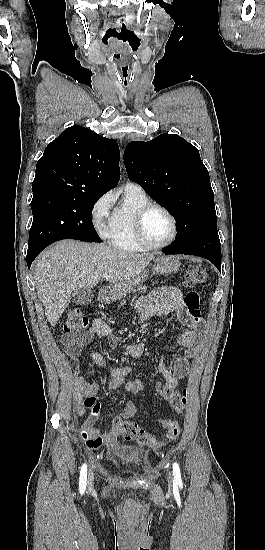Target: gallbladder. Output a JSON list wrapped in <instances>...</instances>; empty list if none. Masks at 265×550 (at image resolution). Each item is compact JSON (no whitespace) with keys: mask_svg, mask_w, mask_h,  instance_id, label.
<instances>
[{"mask_svg":"<svg viewBox=\"0 0 265 550\" xmlns=\"http://www.w3.org/2000/svg\"><path fill=\"white\" fill-rule=\"evenodd\" d=\"M93 297L94 294L91 289L81 288L72 293L71 300L77 305H86L92 301Z\"/></svg>","mask_w":265,"mask_h":550,"instance_id":"gallbladder-1","label":"gallbladder"}]
</instances>
